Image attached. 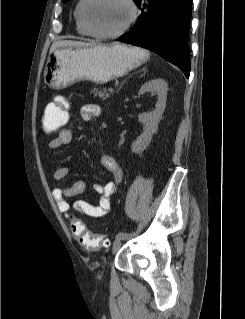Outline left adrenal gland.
<instances>
[{
  "mask_svg": "<svg viewBox=\"0 0 245 319\" xmlns=\"http://www.w3.org/2000/svg\"><path fill=\"white\" fill-rule=\"evenodd\" d=\"M142 71L145 73V72H146V69L144 68Z\"/></svg>",
  "mask_w": 245,
  "mask_h": 319,
  "instance_id": "1",
  "label": "left adrenal gland"
}]
</instances>
